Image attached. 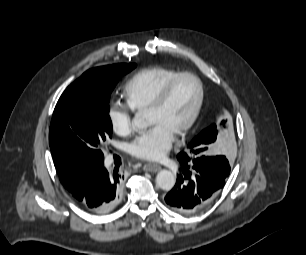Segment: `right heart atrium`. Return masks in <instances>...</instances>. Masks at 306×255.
Masks as SVG:
<instances>
[{
    "mask_svg": "<svg viewBox=\"0 0 306 255\" xmlns=\"http://www.w3.org/2000/svg\"><path fill=\"white\" fill-rule=\"evenodd\" d=\"M112 130L119 136H128L133 131V118L125 106L112 104L108 110Z\"/></svg>",
    "mask_w": 306,
    "mask_h": 255,
    "instance_id": "1",
    "label": "right heart atrium"
}]
</instances>
